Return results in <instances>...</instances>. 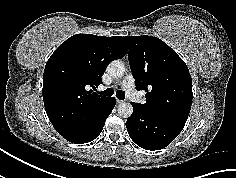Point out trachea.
I'll use <instances>...</instances> for the list:
<instances>
[{
    "label": "trachea",
    "instance_id": "1",
    "mask_svg": "<svg viewBox=\"0 0 236 178\" xmlns=\"http://www.w3.org/2000/svg\"><path fill=\"white\" fill-rule=\"evenodd\" d=\"M113 93H114L113 89L108 88V89H106L105 91H102V92H101V95L110 97V96L113 95ZM116 97H117L118 99H120V100H124L125 94H124L123 91H117V92H116Z\"/></svg>",
    "mask_w": 236,
    "mask_h": 178
}]
</instances>
